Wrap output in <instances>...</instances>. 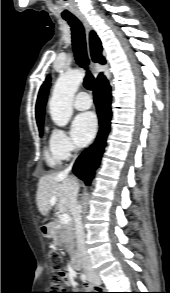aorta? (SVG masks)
<instances>
[{"label":"aorta","mask_w":170,"mask_h":293,"mask_svg":"<svg viewBox=\"0 0 170 293\" xmlns=\"http://www.w3.org/2000/svg\"><path fill=\"white\" fill-rule=\"evenodd\" d=\"M85 73L73 70L62 74L55 83L49 102L50 115L53 122L64 127L68 124L73 114L72 101Z\"/></svg>","instance_id":"1"}]
</instances>
